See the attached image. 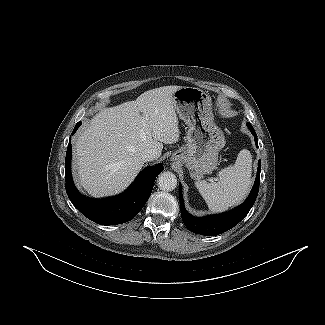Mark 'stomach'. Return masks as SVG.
<instances>
[{
    "mask_svg": "<svg viewBox=\"0 0 325 325\" xmlns=\"http://www.w3.org/2000/svg\"><path fill=\"white\" fill-rule=\"evenodd\" d=\"M173 102L188 131L186 145L172 155V160L184 164L192 178H199L215 169L225 136L214 123L211 98L203 90L181 87L173 94Z\"/></svg>",
    "mask_w": 325,
    "mask_h": 325,
    "instance_id": "0dacf381",
    "label": "stomach"
}]
</instances>
